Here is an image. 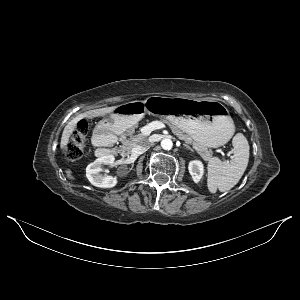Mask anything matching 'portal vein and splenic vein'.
<instances>
[{
  "mask_svg": "<svg viewBox=\"0 0 300 300\" xmlns=\"http://www.w3.org/2000/svg\"><path fill=\"white\" fill-rule=\"evenodd\" d=\"M164 127V124L159 121H153L152 123L143 127V130L146 135H149L153 130L161 129ZM230 154H228L229 156Z\"/></svg>",
  "mask_w": 300,
  "mask_h": 300,
  "instance_id": "obj_1",
  "label": "portal vein and splenic vein"
}]
</instances>
